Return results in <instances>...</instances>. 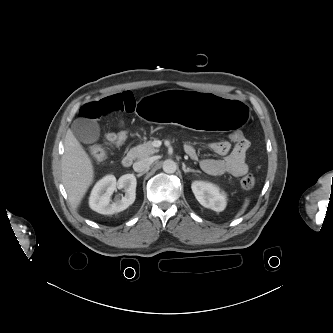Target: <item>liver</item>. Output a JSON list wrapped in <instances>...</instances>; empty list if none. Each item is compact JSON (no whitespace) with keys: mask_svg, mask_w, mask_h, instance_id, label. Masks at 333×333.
Listing matches in <instances>:
<instances>
[{"mask_svg":"<svg viewBox=\"0 0 333 333\" xmlns=\"http://www.w3.org/2000/svg\"><path fill=\"white\" fill-rule=\"evenodd\" d=\"M61 169L69 200L77 207L93 182L94 170L90 157L71 130L65 136Z\"/></svg>","mask_w":333,"mask_h":333,"instance_id":"1","label":"liver"}]
</instances>
